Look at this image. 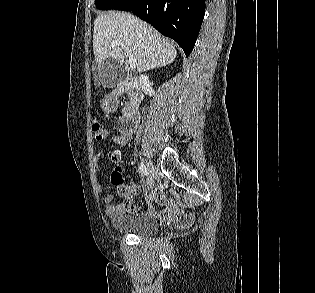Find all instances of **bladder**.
Returning a JSON list of instances; mask_svg holds the SVG:
<instances>
[{
	"label": "bladder",
	"instance_id": "31cf9c89",
	"mask_svg": "<svg viewBox=\"0 0 315 293\" xmlns=\"http://www.w3.org/2000/svg\"><path fill=\"white\" fill-rule=\"evenodd\" d=\"M111 224L120 233L136 236L154 235L159 230L158 222L144 215L118 214L112 217Z\"/></svg>",
	"mask_w": 315,
	"mask_h": 293
}]
</instances>
